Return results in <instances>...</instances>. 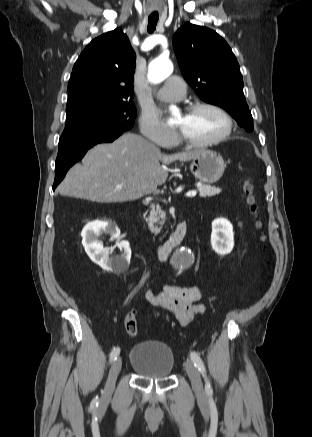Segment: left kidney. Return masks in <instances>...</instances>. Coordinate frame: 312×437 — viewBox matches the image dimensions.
Wrapping results in <instances>:
<instances>
[{
  "instance_id": "left-kidney-1",
  "label": "left kidney",
  "mask_w": 312,
  "mask_h": 437,
  "mask_svg": "<svg viewBox=\"0 0 312 437\" xmlns=\"http://www.w3.org/2000/svg\"><path fill=\"white\" fill-rule=\"evenodd\" d=\"M211 246L220 254H229L234 247V232L232 224L224 218L212 222Z\"/></svg>"
}]
</instances>
